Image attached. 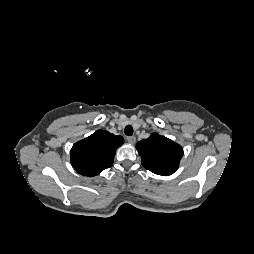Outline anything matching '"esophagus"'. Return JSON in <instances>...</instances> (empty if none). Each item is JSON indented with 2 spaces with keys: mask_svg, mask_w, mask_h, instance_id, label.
I'll return each mask as SVG.
<instances>
[{
  "mask_svg": "<svg viewBox=\"0 0 254 254\" xmlns=\"http://www.w3.org/2000/svg\"><path fill=\"white\" fill-rule=\"evenodd\" d=\"M126 139L130 144H134L136 142V138L134 136H128Z\"/></svg>",
  "mask_w": 254,
  "mask_h": 254,
  "instance_id": "34e87169",
  "label": "esophagus"
}]
</instances>
